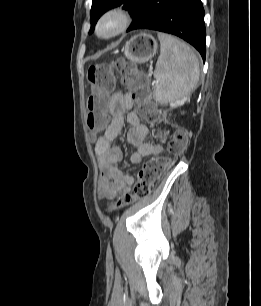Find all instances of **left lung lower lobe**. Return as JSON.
Instances as JSON below:
<instances>
[{"label":"left lung lower lobe","instance_id":"0a47b994","mask_svg":"<svg viewBox=\"0 0 261 306\" xmlns=\"http://www.w3.org/2000/svg\"><path fill=\"white\" fill-rule=\"evenodd\" d=\"M135 29L174 34L194 46L205 60V23L201 0H145L127 32Z\"/></svg>","mask_w":261,"mask_h":306}]
</instances>
